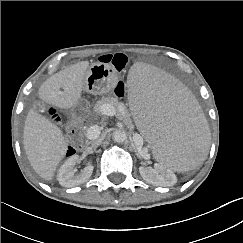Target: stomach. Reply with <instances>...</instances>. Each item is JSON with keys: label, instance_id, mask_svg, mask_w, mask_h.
I'll return each instance as SVG.
<instances>
[{"label": "stomach", "instance_id": "obj_1", "mask_svg": "<svg viewBox=\"0 0 243 243\" xmlns=\"http://www.w3.org/2000/svg\"><path fill=\"white\" fill-rule=\"evenodd\" d=\"M117 82L115 70L104 63H94L86 71L83 90L94 95H103L111 92ZM83 103H78L73 112L81 109Z\"/></svg>", "mask_w": 243, "mask_h": 243}]
</instances>
